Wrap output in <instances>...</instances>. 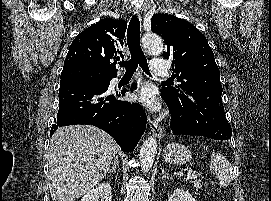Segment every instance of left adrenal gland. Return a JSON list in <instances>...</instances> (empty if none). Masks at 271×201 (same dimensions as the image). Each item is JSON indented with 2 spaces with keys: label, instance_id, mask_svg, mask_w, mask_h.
I'll list each match as a JSON object with an SVG mask.
<instances>
[{
  "label": "left adrenal gland",
  "instance_id": "left-adrenal-gland-1",
  "mask_svg": "<svg viewBox=\"0 0 271 201\" xmlns=\"http://www.w3.org/2000/svg\"><path fill=\"white\" fill-rule=\"evenodd\" d=\"M169 177L166 176L165 170H162V179H168Z\"/></svg>",
  "mask_w": 271,
  "mask_h": 201
}]
</instances>
